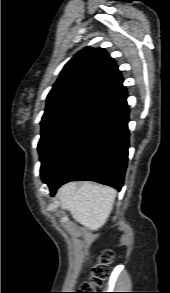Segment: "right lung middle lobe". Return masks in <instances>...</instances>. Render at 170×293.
Listing matches in <instances>:
<instances>
[{
  "label": "right lung middle lobe",
  "instance_id": "dd1d6c3e",
  "mask_svg": "<svg viewBox=\"0 0 170 293\" xmlns=\"http://www.w3.org/2000/svg\"><path fill=\"white\" fill-rule=\"evenodd\" d=\"M109 110L106 107L79 105L59 111L41 121L38 151L43 181L58 171Z\"/></svg>",
  "mask_w": 170,
  "mask_h": 293
}]
</instances>
